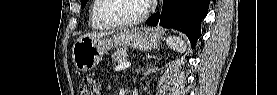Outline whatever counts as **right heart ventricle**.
Listing matches in <instances>:
<instances>
[{
	"mask_svg": "<svg viewBox=\"0 0 277 95\" xmlns=\"http://www.w3.org/2000/svg\"><path fill=\"white\" fill-rule=\"evenodd\" d=\"M101 4V0H93L92 1V6H91V11H90V24L93 28L96 29H105L107 28V25H105L103 22L98 20L95 16V11L98 8V6Z\"/></svg>",
	"mask_w": 277,
	"mask_h": 95,
	"instance_id": "right-heart-ventricle-1",
	"label": "right heart ventricle"
}]
</instances>
